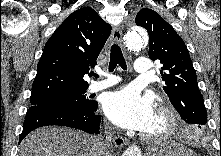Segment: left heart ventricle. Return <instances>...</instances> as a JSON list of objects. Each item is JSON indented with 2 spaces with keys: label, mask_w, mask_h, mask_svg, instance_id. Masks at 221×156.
Here are the masks:
<instances>
[{
  "label": "left heart ventricle",
  "mask_w": 221,
  "mask_h": 156,
  "mask_svg": "<svg viewBox=\"0 0 221 156\" xmlns=\"http://www.w3.org/2000/svg\"><path fill=\"white\" fill-rule=\"evenodd\" d=\"M162 127V121L160 119V117L156 114L155 118L152 122V124L150 125V127L147 129V132H154L159 130Z\"/></svg>",
  "instance_id": "b2bd125f"
}]
</instances>
